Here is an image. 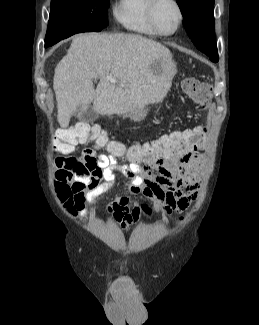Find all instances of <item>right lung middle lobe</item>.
<instances>
[{"instance_id":"obj_1","label":"right lung middle lobe","mask_w":259,"mask_h":325,"mask_svg":"<svg viewBox=\"0 0 259 325\" xmlns=\"http://www.w3.org/2000/svg\"><path fill=\"white\" fill-rule=\"evenodd\" d=\"M108 0H51L45 47L79 32L107 27Z\"/></svg>"}]
</instances>
